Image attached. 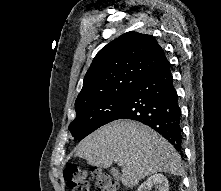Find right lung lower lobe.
<instances>
[{"label": "right lung lower lobe", "mask_w": 221, "mask_h": 191, "mask_svg": "<svg viewBox=\"0 0 221 191\" xmlns=\"http://www.w3.org/2000/svg\"><path fill=\"white\" fill-rule=\"evenodd\" d=\"M117 119H132L150 126L182 155L181 110L168 60L129 93Z\"/></svg>", "instance_id": "98d812e1"}]
</instances>
